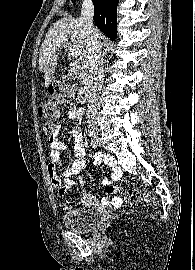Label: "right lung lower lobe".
<instances>
[{
  "label": "right lung lower lobe",
  "mask_w": 195,
  "mask_h": 270,
  "mask_svg": "<svg viewBox=\"0 0 195 270\" xmlns=\"http://www.w3.org/2000/svg\"><path fill=\"white\" fill-rule=\"evenodd\" d=\"M94 4V22L111 40L117 37V5L119 0H92Z\"/></svg>",
  "instance_id": "right-lung-lower-lobe-1"
}]
</instances>
